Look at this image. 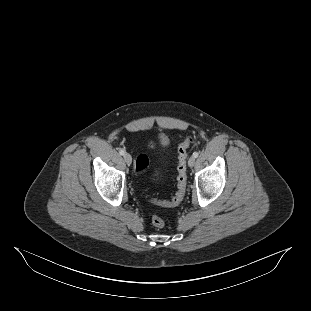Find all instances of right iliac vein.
<instances>
[{"instance_id":"right-iliac-vein-1","label":"right iliac vein","mask_w":311,"mask_h":311,"mask_svg":"<svg viewBox=\"0 0 311 311\" xmlns=\"http://www.w3.org/2000/svg\"><path fill=\"white\" fill-rule=\"evenodd\" d=\"M124 160H125V162H126L128 165H130L131 162H132V157H131V155L128 154V153H125V154H124Z\"/></svg>"}]
</instances>
